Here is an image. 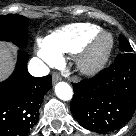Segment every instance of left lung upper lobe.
Returning a JSON list of instances; mask_svg holds the SVG:
<instances>
[{"mask_svg":"<svg viewBox=\"0 0 136 136\" xmlns=\"http://www.w3.org/2000/svg\"><path fill=\"white\" fill-rule=\"evenodd\" d=\"M119 49H120L121 53H127V52H132L133 51V49L130 46L129 42L127 41V39L123 35H120Z\"/></svg>","mask_w":136,"mask_h":136,"instance_id":"5c2ea615","label":"left lung upper lobe"}]
</instances>
